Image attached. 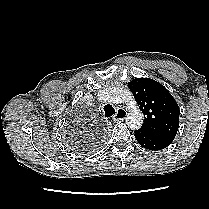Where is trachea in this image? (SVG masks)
Listing matches in <instances>:
<instances>
[{
	"instance_id": "1",
	"label": "trachea",
	"mask_w": 209,
	"mask_h": 209,
	"mask_svg": "<svg viewBox=\"0 0 209 209\" xmlns=\"http://www.w3.org/2000/svg\"><path fill=\"white\" fill-rule=\"evenodd\" d=\"M104 113H105V116L110 117V116L114 115L116 112H115V109L112 105L107 104L104 106Z\"/></svg>"
}]
</instances>
